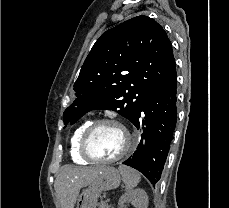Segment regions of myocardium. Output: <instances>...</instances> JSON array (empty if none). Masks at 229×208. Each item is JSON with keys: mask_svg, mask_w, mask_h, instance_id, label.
Instances as JSON below:
<instances>
[{"mask_svg": "<svg viewBox=\"0 0 229 208\" xmlns=\"http://www.w3.org/2000/svg\"><path fill=\"white\" fill-rule=\"evenodd\" d=\"M106 124H112L121 128L126 133L128 137V142L124 143L125 149L120 154H118L117 157H110V160H99V157H91V152H88V140L92 138V135L95 132V130ZM135 143L136 142L133 134L121 122L115 119H99L90 123L89 126L85 129L81 138V143L79 144L80 148H78V153H82V158H88L93 162L112 163L126 157L135 147Z\"/></svg>", "mask_w": 229, "mask_h": 208, "instance_id": "myocardium-1", "label": "myocardium"}]
</instances>
